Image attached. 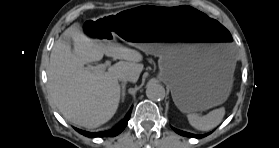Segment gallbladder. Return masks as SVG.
Masks as SVG:
<instances>
[{
    "instance_id": "1",
    "label": "gallbladder",
    "mask_w": 279,
    "mask_h": 148,
    "mask_svg": "<svg viewBox=\"0 0 279 148\" xmlns=\"http://www.w3.org/2000/svg\"><path fill=\"white\" fill-rule=\"evenodd\" d=\"M63 41L69 45H73V40L71 38H65Z\"/></svg>"
}]
</instances>
